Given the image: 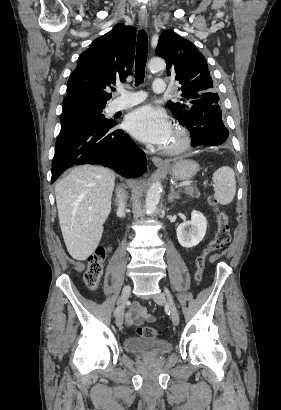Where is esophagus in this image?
I'll return each mask as SVG.
<instances>
[{"mask_svg": "<svg viewBox=\"0 0 281 410\" xmlns=\"http://www.w3.org/2000/svg\"><path fill=\"white\" fill-rule=\"evenodd\" d=\"M147 23H148V13L146 9H141L139 11V25L141 28L146 29ZM151 160L156 167H165L168 165L167 162H165L163 159L157 156H153Z\"/></svg>", "mask_w": 281, "mask_h": 410, "instance_id": "34e87169", "label": "esophagus"}]
</instances>
